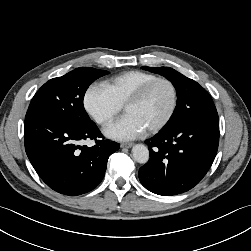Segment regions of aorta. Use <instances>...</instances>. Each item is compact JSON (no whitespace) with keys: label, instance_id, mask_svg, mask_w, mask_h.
Listing matches in <instances>:
<instances>
[{"label":"aorta","instance_id":"aorta-1","mask_svg":"<svg viewBox=\"0 0 251 251\" xmlns=\"http://www.w3.org/2000/svg\"><path fill=\"white\" fill-rule=\"evenodd\" d=\"M132 155L136 162L145 164L149 160V150L143 144H136L132 148Z\"/></svg>","mask_w":251,"mask_h":251}]
</instances>
